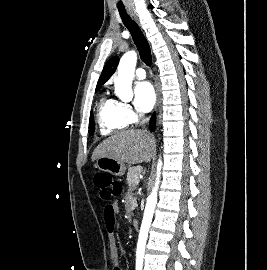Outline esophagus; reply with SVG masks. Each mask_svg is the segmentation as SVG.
<instances>
[{
  "label": "esophagus",
  "mask_w": 267,
  "mask_h": 270,
  "mask_svg": "<svg viewBox=\"0 0 267 270\" xmlns=\"http://www.w3.org/2000/svg\"><path fill=\"white\" fill-rule=\"evenodd\" d=\"M153 71H154V67H153ZM153 80H154V86H155L156 97H157L155 110H157L158 107H159V104H160V87H159V83H158L157 78L155 77V75L153 77Z\"/></svg>",
  "instance_id": "34e87169"
}]
</instances>
